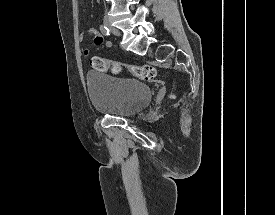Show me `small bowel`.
<instances>
[{
	"instance_id": "1",
	"label": "small bowel",
	"mask_w": 275,
	"mask_h": 215,
	"mask_svg": "<svg viewBox=\"0 0 275 215\" xmlns=\"http://www.w3.org/2000/svg\"><path fill=\"white\" fill-rule=\"evenodd\" d=\"M88 34L92 37L93 42L95 45L97 46H104L105 48H110L112 46V42L111 41H106L104 42L103 36L101 35V33L97 30H91L88 32ZM85 37L84 34L80 35V40H83ZM82 54L85 56H88L90 54V50L89 48H82Z\"/></svg>"
}]
</instances>
